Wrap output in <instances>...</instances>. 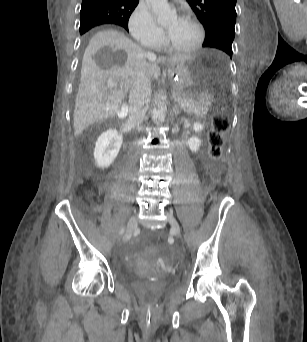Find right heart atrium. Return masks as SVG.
Returning <instances> with one entry per match:
<instances>
[{"label":"right heart atrium","instance_id":"right-heart-atrium-1","mask_svg":"<svg viewBox=\"0 0 307 342\" xmlns=\"http://www.w3.org/2000/svg\"><path fill=\"white\" fill-rule=\"evenodd\" d=\"M131 37L140 45L157 47L162 43L163 34L156 27L150 12L144 8H137L128 21Z\"/></svg>","mask_w":307,"mask_h":342}]
</instances>
